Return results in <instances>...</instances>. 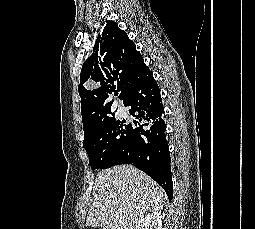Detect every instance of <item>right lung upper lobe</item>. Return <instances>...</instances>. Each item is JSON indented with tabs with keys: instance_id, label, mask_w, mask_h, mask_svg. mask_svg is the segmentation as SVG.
Segmentation results:
<instances>
[{
	"instance_id": "obj_1",
	"label": "right lung upper lobe",
	"mask_w": 255,
	"mask_h": 229,
	"mask_svg": "<svg viewBox=\"0 0 255 229\" xmlns=\"http://www.w3.org/2000/svg\"><path fill=\"white\" fill-rule=\"evenodd\" d=\"M93 52L83 64L78 86L83 142L114 115L109 96L117 88L124 104L134 76L147 67L132 40L114 21H107L101 35H98ZM88 80H93L95 86L87 90L83 84Z\"/></svg>"
}]
</instances>
